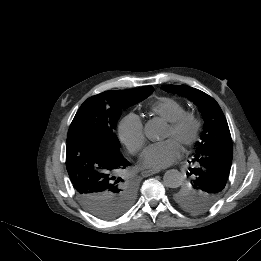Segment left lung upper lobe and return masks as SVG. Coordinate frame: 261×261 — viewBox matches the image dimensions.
Returning a JSON list of instances; mask_svg holds the SVG:
<instances>
[{
    "mask_svg": "<svg viewBox=\"0 0 261 261\" xmlns=\"http://www.w3.org/2000/svg\"><path fill=\"white\" fill-rule=\"evenodd\" d=\"M161 88L190 99L202 113L203 133L192 159L196 167L188 174L191 180L179 187L173 198L191 213L205 212L220 198L229 176L233 149L227 121L218 103L206 93L185 85ZM200 169L206 171V175L197 178L196 172Z\"/></svg>",
    "mask_w": 261,
    "mask_h": 261,
    "instance_id": "obj_1",
    "label": "left lung upper lobe"
}]
</instances>
